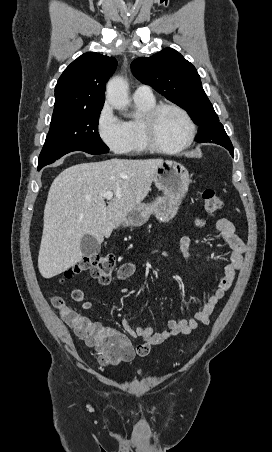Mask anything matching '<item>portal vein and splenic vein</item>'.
Listing matches in <instances>:
<instances>
[{"instance_id": "portal-vein-and-splenic-vein-1", "label": "portal vein and splenic vein", "mask_w": 272, "mask_h": 452, "mask_svg": "<svg viewBox=\"0 0 272 452\" xmlns=\"http://www.w3.org/2000/svg\"><path fill=\"white\" fill-rule=\"evenodd\" d=\"M104 197L107 200H111L113 198V193L111 191H107L104 193Z\"/></svg>"}]
</instances>
